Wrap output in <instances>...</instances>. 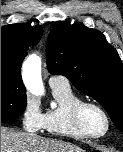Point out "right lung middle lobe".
Returning <instances> with one entry per match:
<instances>
[{"instance_id": "obj_1", "label": "right lung middle lobe", "mask_w": 123, "mask_h": 152, "mask_svg": "<svg viewBox=\"0 0 123 152\" xmlns=\"http://www.w3.org/2000/svg\"><path fill=\"white\" fill-rule=\"evenodd\" d=\"M26 89L19 78L1 73V123L21 116L26 108Z\"/></svg>"}]
</instances>
